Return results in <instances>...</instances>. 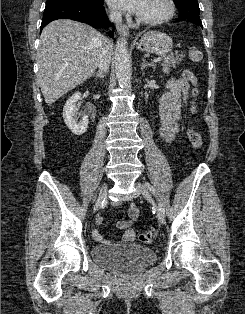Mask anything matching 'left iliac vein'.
<instances>
[{
  "label": "left iliac vein",
  "instance_id": "4c4485c4",
  "mask_svg": "<svg viewBox=\"0 0 245 314\" xmlns=\"http://www.w3.org/2000/svg\"><path fill=\"white\" fill-rule=\"evenodd\" d=\"M135 186L138 189L139 193L142 194L145 199H147L148 201L152 202V198H151L148 190L146 189V187L143 184H141L140 182H136ZM156 209H157V217H158L159 222L162 225H165L164 214L160 211L159 208H156Z\"/></svg>",
  "mask_w": 245,
  "mask_h": 314
}]
</instances>
